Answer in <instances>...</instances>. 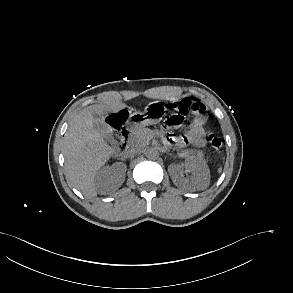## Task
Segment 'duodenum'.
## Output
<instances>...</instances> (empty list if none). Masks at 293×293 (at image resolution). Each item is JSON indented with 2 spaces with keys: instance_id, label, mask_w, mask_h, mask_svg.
<instances>
[{
  "instance_id": "410a0bca",
  "label": "duodenum",
  "mask_w": 293,
  "mask_h": 293,
  "mask_svg": "<svg viewBox=\"0 0 293 293\" xmlns=\"http://www.w3.org/2000/svg\"><path fill=\"white\" fill-rule=\"evenodd\" d=\"M130 134H131V128L129 126L121 129L120 136H119V139H120L119 151L120 152L125 151L127 147L129 146Z\"/></svg>"
}]
</instances>
